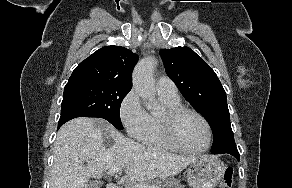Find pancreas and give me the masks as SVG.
I'll return each instance as SVG.
<instances>
[{
  "label": "pancreas",
  "mask_w": 292,
  "mask_h": 188,
  "mask_svg": "<svg viewBox=\"0 0 292 188\" xmlns=\"http://www.w3.org/2000/svg\"><path fill=\"white\" fill-rule=\"evenodd\" d=\"M144 185L152 187L157 186L158 188H185V186L180 183V180L167 177H161L155 181L146 182ZM129 188H135V186L132 185Z\"/></svg>",
  "instance_id": "1"
}]
</instances>
